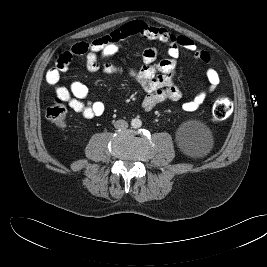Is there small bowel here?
Returning a JSON list of instances; mask_svg holds the SVG:
<instances>
[{
	"label": "small bowel",
	"mask_w": 267,
	"mask_h": 267,
	"mask_svg": "<svg viewBox=\"0 0 267 267\" xmlns=\"http://www.w3.org/2000/svg\"><path fill=\"white\" fill-rule=\"evenodd\" d=\"M137 36L165 44L168 57L157 61L158 50L152 46L142 52L141 63L137 67L122 68L109 62L123 43ZM182 50L193 52L199 61L206 65L210 64L208 52L198 49L191 38L176 36L164 28L152 26L144 21H130L90 43L79 42L69 47L46 72L45 78L49 85L55 87L57 97L66 101L73 111L87 119L102 115L105 104L93 99L89 88L84 83L74 81L68 87L58 85L60 74L69 69L74 57L84 56L86 68L90 72L126 73L135 78L146 91L142 107L145 110H151L164 102H177L182 99L183 92L175 82V71ZM206 78L207 85L204 89L183 103L184 111H196L216 91L220 83L218 72L209 66L206 70Z\"/></svg>",
	"instance_id": "obj_1"
}]
</instances>
